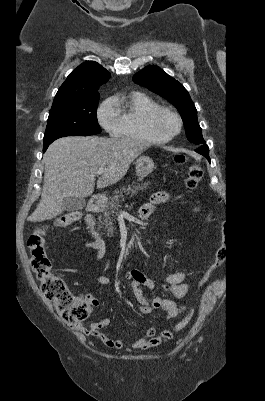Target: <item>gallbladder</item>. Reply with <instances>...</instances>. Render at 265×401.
<instances>
[{
	"label": "gallbladder",
	"mask_w": 265,
	"mask_h": 401,
	"mask_svg": "<svg viewBox=\"0 0 265 401\" xmlns=\"http://www.w3.org/2000/svg\"><path fill=\"white\" fill-rule=\"evenodd\" d=\"M85 205V198H78V196H65V198H63L64 211H70V213L81 211V209H84Z\"/></svg>",
	"instance_id": "1"
}]
</instances>
